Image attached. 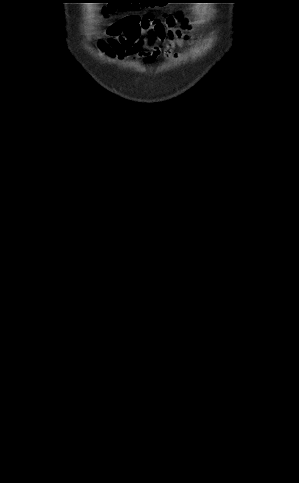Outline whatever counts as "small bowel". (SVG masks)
<instances>
[{
    "instance_id": "obj_1",
    "label": "small bowel",
    "mask_w": 299,
    "mask_h": 483,
    "mask_svg": "<svg viewBox=\"0 0 299 483\" xmlns=\"http://www.w3.org/2000/svg\"><path fill=\"white\" fill-rule=\"evenodd\" d=\"M188 29L189 20L182 12L168 15L165 21L152 13H132L110 24L107 38L99 40L96 46L112 59L150 62L162 55L167 60H177L180 54L175 48L183 47L189 40Z\"/></svg>"
}]
</instances>
